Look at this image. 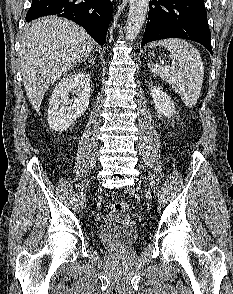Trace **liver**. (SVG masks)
Returning <instances> with one entry per match:
<instances>
[{
	"label": "liver",
	"mask_w": 233,
	"mask_h": 294,
	"mask_svg": "<svg viewBox=\"0 0 233 294\" xmlns=\"http://www.w3.org/2000/svg\"><path fill=\"white\" fill-rule=\"evenodd\" d=\"M92 37L81 27L55 16L32 22L21 44V71L30 103L39 112L49 86L93 50Z\"/></svg>",
	"instance_id": "1"
}]
</instances>
